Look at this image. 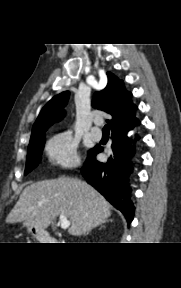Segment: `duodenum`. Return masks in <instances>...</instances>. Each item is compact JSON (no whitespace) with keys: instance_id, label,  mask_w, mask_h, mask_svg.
<instances>
[{"instance_id":"1","label":"duodenum","mask_w":181,"mask_h":288,"mask_svg":"<svg viewBox=\"0 0 181 288\" xmlns=\"http://www.w3.org/2000/svg\"><path fill=\"white\" fill-rule=\"evenodd\" d=\"M37 240L43 243H59L60 239L57 237H52L48 232L38 231Z\"/></svg>"}]
</instances>
